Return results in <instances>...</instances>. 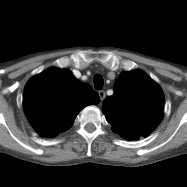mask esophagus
I'll return each mask as SVG.
<instances>
[{
	"instance_id": "1",
	"label": "esophagus",
	"mask_w": 187,
	"mask_h": 187,
	"mask_svg": "<svg viewBox=\"0 0 187 187\" xmlns=\"http://www.w3.org/2000/svg\"><path fill=\"white\" fill-rule=\"evenodd\" d=\"M98 94H99L100 101L102 102L105 99V97H106V93H105V91L100 90L98 92Z\"/></svg>"
}]
</instances>
